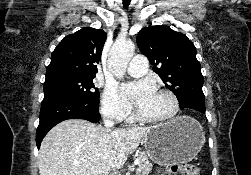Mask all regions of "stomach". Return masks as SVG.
<instances>
[{
    "label": "stomach",
    "mask_w": 251,
    "mask_h": 175,
    "mask_svg": "<svg viewBox=\"0 0 251 175\" xmlns=\"http://www.w3.org/2000/svg\"><path fill=\"white\" fill-rule=\"evenodd\" d=\"M204 139L201 123L189 115L149 127L143 137L148 157L159 165L192 161L201 151Z\"/></svg>",
    "instance_id": "1"
}]
</instances>
